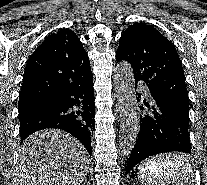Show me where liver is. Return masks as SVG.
I'll list each match as a JSON object with an SVG mask.
<instances>
[{
	"instance_id": "liver-1",
	"label": "liver",
	"mask_w": 207,
	"mask_h": 185,
	"mask_svg": "<svg viewBox=\"0 0 207 185\" xmlns=\"http://www.w3.org/2000/svg\"><path fill=\"white\" fill-rule=\"evenodd\" d=\"M89 165L88 151L70 133L43 129L23 141L12 185H81Z\"/></svg>"
}]
</instances>
